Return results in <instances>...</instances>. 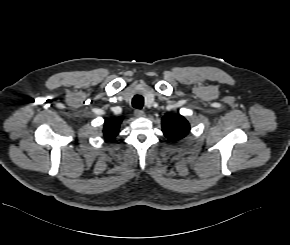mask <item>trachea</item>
Here are the masks:
<instances>
[{
	"instance_id": "obj_1",
	"label": "trachea",
	"mask_w": 290,
	"mask_h": 245,
	"mask_svg": "<svg viewBox=\"0 0 290 245\" xmlns=\"http://www.w3.org/2000/svg\"><path fill=\"white\" fill-rule=\"evenodd\" d=\"M144 103V99L141 95L134 96L132 100V105L136 109H142Z\"/></svg>"
}]
</instances>
